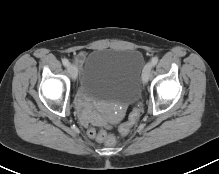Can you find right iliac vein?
Instances as JSON below:
<instances>
[{"label": "right iliac vein", "instance_id": "right-iliac-vein-1", "mask_svg": "<svg viewBox=\"0 0 219 174\" xmlns=\"http://www.w3.org/2000/svg\"><path fill=\"white\" fill-rule=\"evenodd\" d=\"M68 72L73 79H75L77 77L78 70L74 64L68 65Z\"/></svg>", "mask_w": 219, "mask_h": 174}]
</instances>
